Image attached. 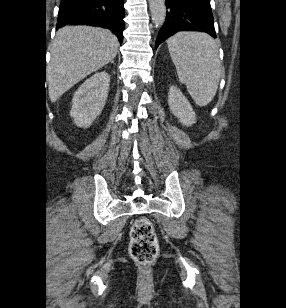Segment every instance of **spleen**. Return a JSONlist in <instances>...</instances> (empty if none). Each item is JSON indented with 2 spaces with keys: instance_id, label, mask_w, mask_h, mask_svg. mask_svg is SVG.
<instances>
[{
  "instance_id": "obj_1",
  "label": "spleen",
  "mask_w": 286,
  "mask_h": 308,
  "mask_svg": "<svg viewBox=\"0 0 286 308\" xmlns=\"http://www.w3.org/2000/svg\"><path fill=\"white\" fill-rule=\"evenodd\" d=\"M179 81L198 106L214 98L221 76L216 41L206 33L182 31L167 40Z\"/></svg>"
}]
</instances>
